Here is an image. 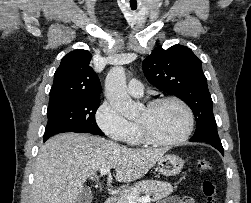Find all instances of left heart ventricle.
I'll return each mask as SVG.
<instances>
[{"mask_svg":"<svg viewBox=\"0 0 251 203\" xmlns=\"http://www.w3.org/2000/svg\"><path fill=\"white\" fill-rule=\"evenodd\" d=\"M144 123L158 139L172 140L180 137L187 127V115L183 108L169 102L153 110L144 108L137 120Z\"/></svg>","mask_w":251,"mask_h":203,"instance_id":"obj_1","label":"left heart ventricle"}]
</instances>
